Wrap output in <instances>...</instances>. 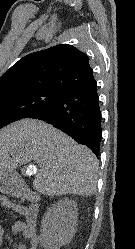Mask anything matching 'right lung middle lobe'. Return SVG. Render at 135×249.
<instances>
[{
  "instance_id": "1",
  "label": "right lung middle lobe",
  "mask_w": 135,
  "mask_h": 249,
  "mask_svg": "<svg viewBox=\"0 0 135 249\" xmlns=\"http://www.w3.org/2000/svg\"><path fill=\"white\" fill-rule=\"evenodd\" d=\"M61 94L55 91H32L0 96V129L9 123L30 116L34 111L55 101Z\"/></svg>"
}]
</instances>
